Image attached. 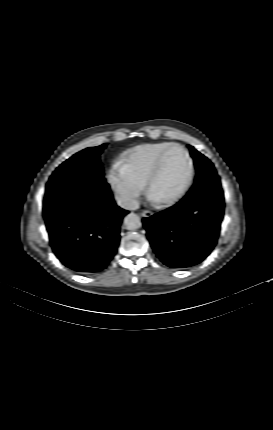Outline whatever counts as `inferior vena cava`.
<instances>
[{
	"label": "inferior vena cava",
	"mask_w": 273,
	"mask_h": 430,
	"mask_svg": "<svg viewBox=\"0 0 273 430\" xmlns=\"http://www.w3.org/2000/svg\"><path fill=\"white\" fill-rule=\"evenodd\" d=\"M117 203L120 207L127 210H136L139 208V202L130 197H116Z\"/></svg>",
	"instance_id": "1"
}]
</instances>
